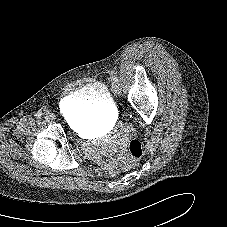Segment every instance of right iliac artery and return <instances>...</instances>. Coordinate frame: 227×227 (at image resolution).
Masks as SVG:
<instances>
[{
    "instance_id": "right-iliac-artery-1",
    "label": "right iliac artery",
    "mask_w": 227,
    "mask_h": 227,
    "mask_svg": "<svg viewBox=\"0 0 227 227\" xmlns=\"http://www.w3.org/2000/svg\"><path fill=\"white\" fill-rule=\"evenodd\" d=\"M41 113H37V114H35V116L37 117V118H40L41 117Z\"/></svg>"
}]
</instances>
